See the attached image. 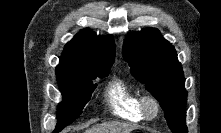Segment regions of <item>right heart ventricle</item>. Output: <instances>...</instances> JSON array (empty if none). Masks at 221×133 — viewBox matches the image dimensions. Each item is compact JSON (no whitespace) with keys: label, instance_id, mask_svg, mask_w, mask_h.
I'll list each match as a JSON object with an SVG mask.
<instances>
[{"label":"right heart ventricle","instance_id":"obj_1","mask_svg":"<svg viewBox=\"0 0 221 133\" xmlns=\"http://www.w3.org/2000/svg\"><path fill=\"white\" fill-rule=\"evenodd\" d=\"M140 93L122 79L113 80L106 89V101L112 113L131 122L144 119L140 107Z\"/></svg>","mask_w":221,"mask_h":133}]
</instances>
